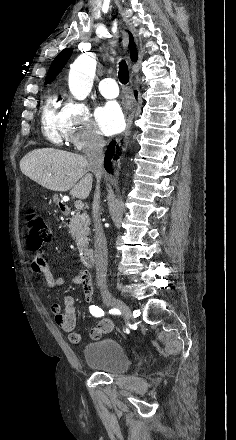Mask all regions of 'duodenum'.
Instances as JSON below:
<instances>
[{
  "label": "duodenum",
  "instance_id": "obj_1",
  "mask_svg": "<svg viewBox=\"0 0 236 440\" xmlns=\"http://www.w3.org/2000/svg\"><path fill=\"white\" fill-rule=\"evenodd\" d=\"M60 209L63 212L67 211V206L63 201H59L58 202ZM81 263L83 264V266L85 268H91L93 266L94 263V253L92 250L88 249L86 250L82 256H81Z\"/></svg>",
  "mask_w": 236,
  "mask_h": 440
}]
</instances>
